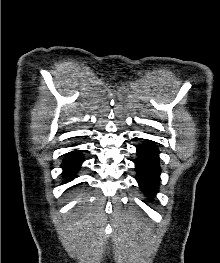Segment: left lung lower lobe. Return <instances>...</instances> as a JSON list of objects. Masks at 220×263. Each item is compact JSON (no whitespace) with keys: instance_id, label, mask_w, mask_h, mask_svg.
<instances>
[{"instance_id":"obj_1","label":"left lung lower lobe","mask_w":220,"mask_h":263,"mask_svg":"<svg viewBox=\"0 0 220 263\" xmlns=\"http://www.w3.org/2000/svg\"><path fill=\"white\" fill-rule=\"evenodd\" d=\"M137 153L139 158L135 161L137 171V181L141 190L151 197L158 192V185L160 181V166L158 162L157 148L148 143L146 145L137 146Z\"/></svg>"}]
</instances>
